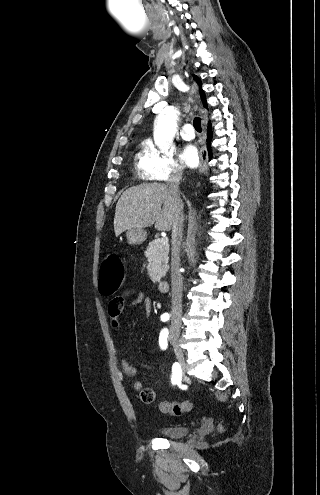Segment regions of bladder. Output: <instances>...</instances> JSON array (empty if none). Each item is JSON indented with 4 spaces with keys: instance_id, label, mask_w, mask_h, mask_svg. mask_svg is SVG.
Listing matches in <instances>:
<instances>
[{
    "instance_id": "1",
    "label": "bladder",
    "mask_w": 320,
    "mask_h": 495,
    "mask_svg": "<svg viewBox=\"0 0 320 495\" xmlns=\"http://www.w3.org/2000/svg\"><path fill=\"white\" fill-rule=\"evenodd\" d=\"M186 425H164L155 428L156 433L168 438H179L189 432Z\"/></svg>"
}]
</instances>
